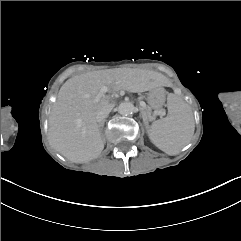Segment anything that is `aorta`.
Returning a JSON list of instances; mask_svg holds the SVG:
<instances>
[{
	"instance_id": "762f6f07",
	"label": "aorta",
	"mask_w": 241,
	"mask_h": 241,
	"mask_svg": "<svg viewBox=\"0 0 241 241\" xmlns=\"http://www.w3.org/2000/svg\"><path fill=\"white\" fill-rule=\"evenodd\" d=\"M135 110L134 105L131 102H122L118 106V112L121 115H132Z\"/></svg>"
}]
</instances>
